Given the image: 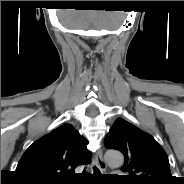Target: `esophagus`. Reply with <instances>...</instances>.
<instances>
[{
	"mask_svg": "<svg viewBox=\"0 0 184 184\" xmlns=\"http://www.w3.org/2000/svg\"><path fill=\"white\" fill-rule=\"evenodd\" d=\"M94 161L97 167L100 169L101 172H105L107 169V165L103 159L102 150H98L94 155Z\"/></svg>",
	"mask_w": 184,
	"mask_h": 184,
	"instance_id": "1",
	"label": "esophagus"
}]
</instances>
